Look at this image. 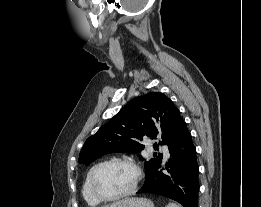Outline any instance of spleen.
Listing matches in <instances>:
<instances>
[{
    "label": "spleen",
    "mask_w": 261,
    "mask_h": 207,
    "mask_svg": "<svg viewBox=\"0 0 261 207\" xmlns=\"http://www.w3.org/2000/svg\"><path fill=\"white\" fill-rule=\"evenodd\" d=\"M166 207H179V206L175 203H169Z\"/></svg>",
    "instance_id": "spleen-1"
}]
</instances>
